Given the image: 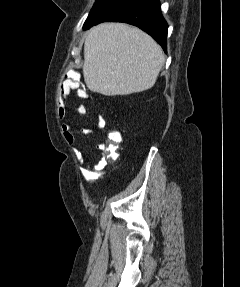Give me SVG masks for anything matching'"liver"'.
Listing matches in <instances>:
<instances>
[{"mask_svg": "<svg viewBox=\"0 0 240 287\" xmlns=\"http://www.w3.org/2000/svg\"><path fill=\"white\" fill-rule=\"evenodd\" d=\"M164 61L161 47L142 30L103 23L85 39L84 81L106 96L138 93L154 86Z\"/></svg>", "mask_w": 240, "mask_h": 287, "instance_id": "liver-1", "label": "liver"}]
</instances>
